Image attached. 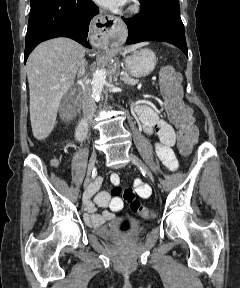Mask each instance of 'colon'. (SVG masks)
<instances>
[{"instance_id":"obj_1","label":"colon","mask_w":240,"mask_h":288,"mask_svg":"<svg viewBox=\"0 0 240 288\" xmlns=\"http://www.w3.org/2000/svg\"><path fill=\"white\" fill-rule=\"evenodd\" d=\"M160 89L164 99L165 111L178 129V143L185 154H188L195 144L197 130L193 125L191 110L181 99L180 75L172 66H165L160 72ZM124 199L130 209L141 218L148 219L154 215L151 208L141 205L135 199L132 189H126Z\"/></svg>"}]
</instances>
